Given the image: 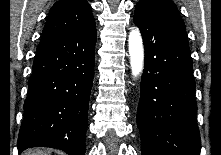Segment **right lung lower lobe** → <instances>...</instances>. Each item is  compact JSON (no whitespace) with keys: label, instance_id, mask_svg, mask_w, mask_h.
Returning a JSON list of instances; mask_svg holds the SVG:
<instances>
[{"label":"right lung lower lobe","instance_id":"right-lung-lower-lobe-1","mask_svg":"<svg viewBox=\"0 0 221 155\" xmlns=\"http://www.w3.org/2000/svg\"><path fill=\"white\" fill-rule=\"evenodd\" d=\"M95 24L74 32L42 35L29 79L18 152L54 147L84 155L94 76Z\"/></svg>","mask_w":221,"mask_h":155}]
</instances>
